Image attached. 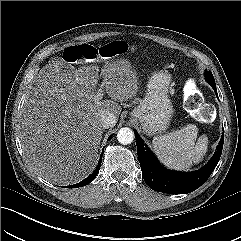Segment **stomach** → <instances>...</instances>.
I'll return each mask as SVG.
<instances>
[{"label":"stomach","mask_w":241,"mask_h":241,"mask_svg":"<svg viewBox=\"0 0 241 241\" xmlns=\"http://www.w3.org/2000/svg\"><path fill=\"white\" fill-rule=\"evenodd\" d=\"M171 79L167 73H154L146 86L144 98L130 113L147 135L164 132L173 116L174 109L169 96Z\"/></svg>","instance_id":"0dacf381"}]
</instances>
